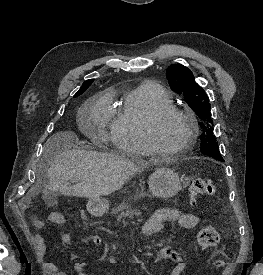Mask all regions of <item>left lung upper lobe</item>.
Segmentation results:
<instances>
[{
    "label": "left lung upper lobe",
    "mask_w": 263,
    "mask_h": 275,
    "mask_svg": "<svg viewBox=\"0 0 263 275\" xmlns=\"http://www.w3.org/2000/svg\"><path fill=\"white\" fill-rule=\"evenodd\" d=\"M166 77L173 91L184 95L190 108L200 119L203 128L200 150L215 159H221L218 142L213 133V120L210 112V103L207 94L196 82L192 72L181 64H172L166 70Z\"/></svg>",
    "instance_id": "5c2ea615"
}]
</instances>
